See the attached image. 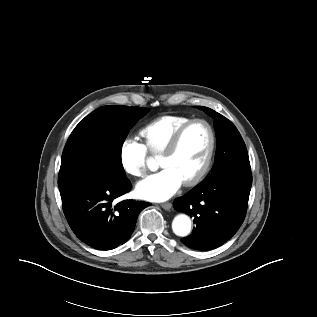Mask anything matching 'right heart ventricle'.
Instances as JSON below:
<instances>
[{
	"mask_svg": "<svg viewBox=\"0 0 317 317\" xmlns=\"http://www.w3.org/2000/svg\"><path fill=\"white\" fill-rule=\"evenodd\" d=\"M191 119L185 116H161L140 129L146 149L153 154L163 152L175 132Z\"/></svg>",
	"mask_w": 317,
	"mask_h": 317,
	"instance_id": "obj_1",
	"label": "right heart ventricle"
}]
</instances>
